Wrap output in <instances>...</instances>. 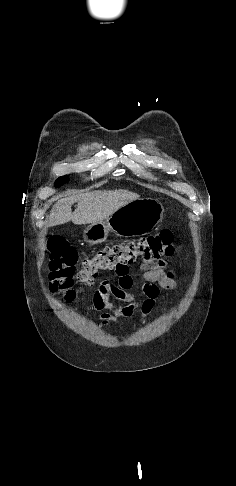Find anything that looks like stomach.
Here are the masks:
<instances>
[{
	"label": "stomach",
	"instance_id": "obj_1",
	"mask_svg": "<svg viewBox=\"0 0 236 486\" xmlns=\"http://www.w3.org/2000/svg\"><path fill=\"white\" fill-rule=\"evenodd\" d=\"M164 207L158 199H136L115 211L106 221L93 223L83 232L89 244L105 241L110 232L118 236L145 235L162 221Z\"/></svg>",
	"mask_w": 236,
	"mask_h": 486
}]
</instances>
